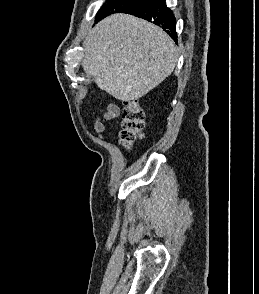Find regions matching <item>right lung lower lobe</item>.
<instances>
[{
  "mask_svg": "<svg viewBox=\"0 0 259 294\" xmlns=\"http://www.w3.org/2000/svg\"><path fill=\"white\" fill-rule=\"evenodd\" d=\"M161 26L174 40H177L176 20L173 12L167 8L165 0H140L123 11Z\"/></svg>",
  "mask_w": 259,
  "mask_h": 294,
  "instance_id": "1",
  "label": "right lung lower lobe"
}]
</instances>
